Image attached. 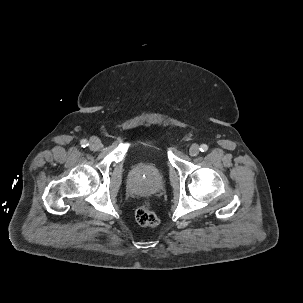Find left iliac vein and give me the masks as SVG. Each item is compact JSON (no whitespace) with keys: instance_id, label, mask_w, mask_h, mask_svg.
I'll return each mask as SVG.
<instances>
[{"instance_id":"4c4485c4","label":"left iliac vein","mask_w":303,"mask_h":303,"mask_svg":"<svg viewBox=\"0 0 303 303\" xmlns=\"http://www.w3.org/2000/svg\"><path fill=\"white\" fill-rule=\"evenodd\" d=\"M189 154L191 156H197L199 154V146L197 144H193L190 148H189Z\"/></svg>"}]
</instances>
